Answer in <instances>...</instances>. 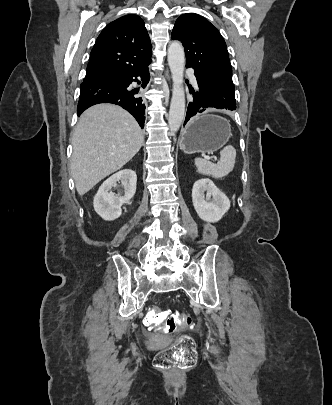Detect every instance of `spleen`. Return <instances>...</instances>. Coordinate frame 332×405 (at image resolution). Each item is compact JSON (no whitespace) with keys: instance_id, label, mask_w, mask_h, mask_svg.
<instances>
[{"instance_id":"1","label":"spleen","mask_w":332,"mask_h":405,"mask_svg":"<svg viewBox=\"0 0 332 405\" xmlns=\"http://www.w3.org/2000/svg\"><path fill=\"white\" fill-rule=\"evenodd\" d=\"M235 158V148L232 145H228L220 151V159L217 164H213L202 158H196L194 162L200 174L212 176L213 178H222L232 172Z\"/></svg>"}]
</instances>
